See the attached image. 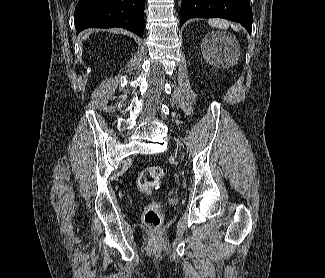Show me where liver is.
Here are the masks:
<instances>
[{
    "mask_svg": "<svg viewBox=\"0 0 325 278\" xmlns=\"http://www.w3.org/2000/svg\"><path fill=\"white\" fill-rule=\"evenodd\" d=\"M89 34H90V33H86V34L83 36V38L86 39L87 36H88Z\"/></svg>",
    "mask_w": 325,
    "mask_h": 278,
    "instance_id": "1",
    "label": "liver"
}]
</instances>
